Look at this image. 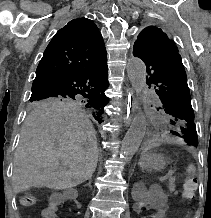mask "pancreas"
Segmentation results:
<instances>
[{"label":"pancreas","mask_w":211,"mask_h":218,"mask_svg":"<svg viewBox=\"0 0 211 218\" xmlns=\"http://www.w3.org/2000/svg\"><path fill=\"white\" fill-rule=\"evenodd\" d=\"M168 188H169L170 192H174V190H175L174 180H170V184H168Z\"/></svg>","instance_id":"obj_1"}]
</instances>
